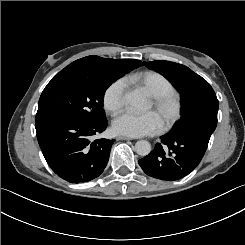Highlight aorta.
Returning <instances> with one entry per match:
<instances>
[{
  "instance_id": "aorta-1",
  "label": "aorta",
  "mask_w": 245,
  "mask_h": 245,
  "mask_svg": "<svg viewBox=\"0 0 245 245\" xmlns=\"http://www.w3.org/2000/svg\"><path fill=\"white\" fill-rule=\"evenodd\" d=\"M124 101L135 110H142L146 107V98L137 90L126 92ZM135 152L140 156H147L151 152V144L146 140L137 141Z\"/></svg>"
}]
</instances>
